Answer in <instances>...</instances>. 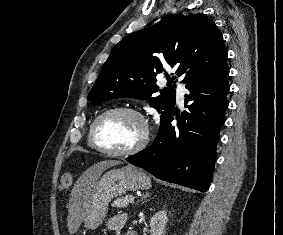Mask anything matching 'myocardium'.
Masks as SVG:
<instances>
[{"mask_svg": "<svg viewBox=\"0 0 283 235\" xmlns=\"http://www.w3.org/2000/svg\"><path fill=\"white\" fill-rule=\"evenodd\" d=\"M114 113L132 114L135 117H137L142 124L143 132H142V135H141L139 141L129 149L120 150V151H113V150H109V149L104 148L97 141L96 130H97L99 123L105 117H107L111 114H114ZM89 138H90V143H91L92 147L95 148L97 151L105 154V155L112 156V157H128V156L135 155V154L139 153L140 151H142L143 149L146 148V146L149 143V139H150V130H149V125H148V122H147L145 116L139 110L132 108V107H128V106H117V107H112V108L106 109L105 111L100 113L94 119V121L92 122V124L90 126Z\"/></svg>", "mask_w": 283, "mask_h": 235, "instance_id": "1", "label": "myocardium"}]
</instances>
